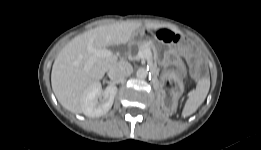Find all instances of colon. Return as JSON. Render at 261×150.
<instances>
[{
    "instance_id": "5ec220e1",
    "label": "colon",
    "mask_w": 261,
    "mask_h": 150,
    "mask_svg": "<svg viewBox=\"0 0 261 150\" xmlns=\"http://www.w3.org/2000/svg\"><path fill=\"white\" fill-rule=\"evenodd\" d=\"M157 37L166 42H176L179 39L173 32L164 29L157 31Z\"/></svg>"
}]
</instances>
